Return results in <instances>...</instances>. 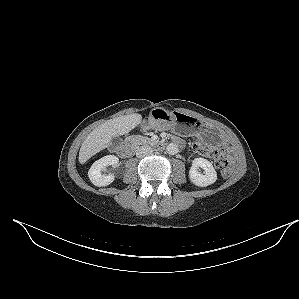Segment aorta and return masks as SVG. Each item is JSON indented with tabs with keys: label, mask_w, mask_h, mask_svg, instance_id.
I'll return each instance as SVG.
<instances>
[{
	"label": "aorta",
	"mask_w": 299,
	"mask_h": 299,
	"mask_svg": "<svg viewBox=\"0 0 299 299\" xmlns=\"http://www.w3.org/2000/svg\"><path fill=\"white\" fill-rule=\"evenodd\" d=\"M167 153L170 154V155H175L179 152V148L176 144L174 143H170L167 148Z\"/></svg>",
	"instance_id": "762f6f07"
}]
</instances>
